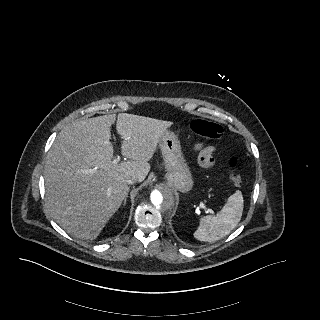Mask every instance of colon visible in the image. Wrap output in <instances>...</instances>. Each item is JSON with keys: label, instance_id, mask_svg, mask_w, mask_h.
Segmentation results:
<instances>
[{"label": "colon", "instance_id": "5ec220e1", "mask_svg": "<svg viewBox=\"0 0 320 320\" xmlns=\"http://www.w3.org/2000/svg\"><path fill=\"white\" fill-rule=\"evenodd\" d=\"M192 130L203 137L210 139H220L223 136V128L216 122L206 119H195L191 123ZM239 159L232 157L229 160L230 175L229 178L235 185L242 183L241 175L238 173Z\"/></svg>", "mask_w": 320, "mask_h": 320}]
</instances>
